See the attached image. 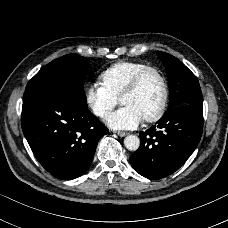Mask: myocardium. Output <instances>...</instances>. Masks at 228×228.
Returning a JSON list of instances; mask_svg holds the SVG:
<instances>
[{"instance_id":"f54148a6","label":"myocardium","mask_w":228,"mask_h":228,"mask_svg":"<svg viewBox=\"0 0 228 228\" xmlns=\"http://www.w3.org/2000/svg\"><path fill=\"white\" fill-rule=\"evenodd\" d=\"M151 72L157 74L159 76V78L161 79L162 84H163V89H164V98H163V102H162L160 108L158 109V111L156 113L143 118L144 121H146V122H156V121L160 120L164 116V114L168 108V105H169V100H170L169 84H168L166 76L158 67L147 66L146 68L140 70L133 77L132 81L129 83V85L126 87V89L123 91V93L120 97V102L122 103L124 97L135 92L139 88L144 77Z\"/></svg>"}]
</instances>
